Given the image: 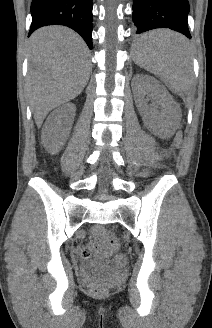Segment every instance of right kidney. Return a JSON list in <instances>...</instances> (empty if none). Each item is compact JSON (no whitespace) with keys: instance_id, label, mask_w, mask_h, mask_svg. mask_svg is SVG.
Returning a JSON list of instances; mask_svg holds the SVG:
<instances>
[{"instance_id":"1","label":"right kidney","mask_w":212,"mask_h":328,"mask_svg":"<svg viewBox=\"0 0 212 328\" xmlns=\"http://www.w3.org/2000/svg\"><path fill=\"white\" fill-rule=\"evenodd\" d=\"M76 112L73 103H67L54 110L47 118L42 129V138L57 135L60 138L67 137Z\"/></svg>"}]
</instances>
